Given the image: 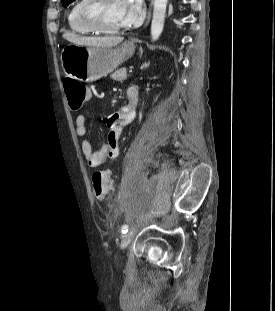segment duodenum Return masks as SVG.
Listing matches in <instances>:
<instances>
[{
    "label": "duodenum",
    "mask_w": 275,
    "mask_h": 311,
    "mask_svg": "<svg viewBox=\"0 0 275 311\" xmlns=\"http://www.w3.org/2000/svg\"><path fill=\"white\" fill-rule=\"evenodd\" d=\"M130 101L132 104H135L137 102L136 98L130 97Z\"/></svg>",
    "instance_id": "410a0bca"
}]
</instances>
